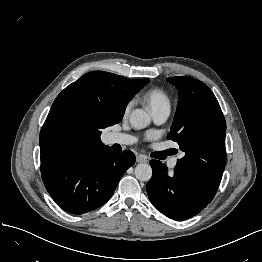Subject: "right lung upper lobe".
Returning <instances> with one entry per match:
<instances>
[{
	"mask_svg": "<svg viewBox=\"0 0 262 262\" xmlns=\"http://www.w3.org/2000/svg\"><path fill=\"white\" fill-rule=\"evenodd\" d=\"M147 83L103 71L80 77L53 102L40 132L41 156L109 148L101 130L121 121L128 102Z\"/></svg>",
	"mask_w": 262,
	"mask_h": 262,
	"instance_id": "1",
	"label": "right lung upper lobe"
}]
</instances>
